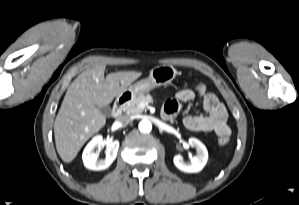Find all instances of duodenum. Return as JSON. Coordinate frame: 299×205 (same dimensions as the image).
Segmentation results:
<instances>
[{"mask_svg":"<svg viewBox=\"0 0 299 205\" xmlns=\"http://www.w3.org/2000/svg\"><path fill=\"white\" fill-rule=\"evenodd\" d=\"M129 100V97L127 96H122L120 97L119 99H117L113 105V108H112V115L114 117H117L121 114L125 104L128 102ZM163 117L165 119H168V117L166 115L163 114Z\"/></svg>","mask_w":299,"mask_h":205,"instance_id":"1","label":"duodenum"}]
</instances>
